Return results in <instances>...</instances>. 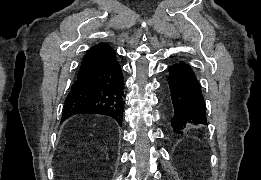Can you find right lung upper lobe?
<instances>
[{
    "label": "right lung upper lobe",
    "mask_w": 261,
    "mask_h": 180,
    "mask_svg": "<svg viewBox=\"0 0 261 180\" xmlns=\"http://www.w3.org/2000/svg\"><path fill=\"white\" fill-rule=\"evenodd\" d=\"M116 61V52L106 43H99L92 46L87 55L83 58L79 73H82L92 67L113 63Z\"/></svg>",
    "instance_id": "cb5924a9"
}]
</instances>
